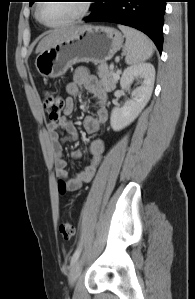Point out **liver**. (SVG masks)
<instances>
[{
  "instance_id": "obj_1",
  "label": "liver",
  "mask_w": 195,
  "mask_h": 299,
  "mask_svg": "<svg viewBox=\"0 0 195 299\" xmlns=\"http://www.w3.org/2000/svg\"><path fill=\"white\" fill-rule=\"evenodd\" d=\"M81 27H70V28H62L51 31L41 39L39 42L36 53H41L42 51L50 48L51 46L61 42L62 40L72 36L77 30Z\"/></svg>"
}]
</instances>
